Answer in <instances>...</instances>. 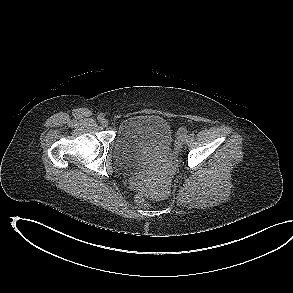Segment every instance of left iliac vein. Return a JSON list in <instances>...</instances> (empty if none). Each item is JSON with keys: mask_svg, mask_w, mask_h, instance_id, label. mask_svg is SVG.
Masks as SVG:
<instances>
[{"mask_svg": "<svg viewBox=\"0 0 293 293\" xmlns=\"http://www.w3.org/2000/svg\"><path fill=\"white\" fill-rule=\"evenodd\" d=\"M190 136H185L184 139L182 140L183 143H187L189 141Z\"/></svg>", "mask_w": 293, "mask_h": 293, "instance_id": "obj_1", "label": "left iliac vein"}]
</instances>
